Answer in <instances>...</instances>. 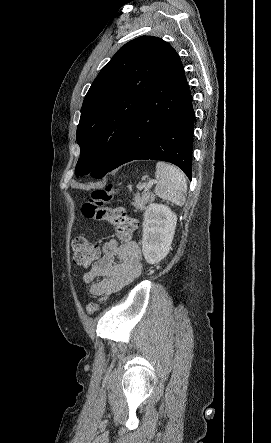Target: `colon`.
I'll return each instance as SVG.
<instances>
[{
  "label": "colon",
  "instance_id": "colon-1",
  "mask_svg": "<svg viewBox=\"0 0 271 443\" xmlns=\"http://www.w3.org/2000/svg\"><path fill=\"white\" fill-rule=\"evenodd\" d=\"M113 192L112 184H109L105 189L93 191L83 204L82 213L94 222L114 227L121 240L129 241L137 227V222L129 217L124 209L107 206L112 199ZM72 249L74 263L80 268H88L98 255L97 245L81 236L73 239ZM98 309L99 304L91 302L87 306V313L94 315Z\"/></svg>",
  "mask_w": 271,
  "mask_h": 443
}]
</instances>
